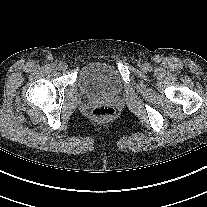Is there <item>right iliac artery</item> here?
Segmentation results:
<instances>
[{"label": "right iliac artery", "instance_id": "obj_1", "mask_svg": "<svg viewBox=\"0 0 207 207\" xmlns=\"http://www.w3.org/2000/svg\"><path fill=\"white\" fill-rule=\"evenodd\" d=\"M62 63H63V62H59V64H58V68H60V66H61Z\"/></svg>", "mask_w": 207, "mask_h": 207}]
</instances>
